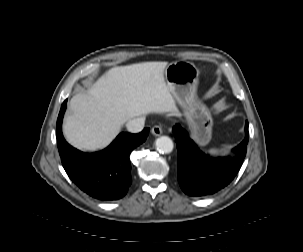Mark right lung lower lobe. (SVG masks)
Instances as JSON below:
<instances>
[{"label":"right lung lower lobe","mask_w":303,"mask_h":252,"mask_svg":"<svg viewBox=\"0 0 303 252\" xmlns=\"http://www.w3.org/2000/svg\"><path fill=\"white\" fill-rule=\"evenodd\" d=\"M65 100L57 119V146L62 165L70 179L88 195L99 200L122 198L132 182L130 152L143 143L149 128L138 134L121 133L106 149L83 153L69 145L62 134Z\"/></svg>","instance_id":"1"}]
</instances>
